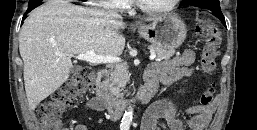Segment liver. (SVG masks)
<instances>
[{"instance_id": "6515ba94", "label": "liver", "mask_w": 257, "mask_h": 130, "mask_svg": "<svg viewBox=\"0 0 257 130\" xmlns=\"http://www.w3.org/2000/svg\"><path fill=\"white\" fill-rule=\"evenodd\" d=\"M157 18H147L154 21ZM125 24L105 12L49 0L24 21L19 51L24 62V84L31 110L67 81L73 68L71 56L94 51L119 56ZM64 54L60 57L57 54Z\"/></svg>"}]
</instances>
